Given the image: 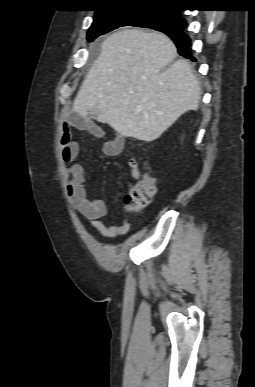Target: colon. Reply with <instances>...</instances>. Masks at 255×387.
Returning a JSON list of instances; mask_svg holds the SVG:
<instances>
[{"label": "colon", "instance_id": "colon-1", "mask_svg": "<svg viewBox=\"0 0 255 387\" xmlns=\"http://www.w3.org/2000/svg\"><path fill=\"white\" fill-rule=\"evenodd\" d=\"M155 192L156 179L149 172H146L126 196V210L132 214L139 213L151 203Z\"/></svg>", "mask_w": 255, "mask_h": 387}]
</instances>
